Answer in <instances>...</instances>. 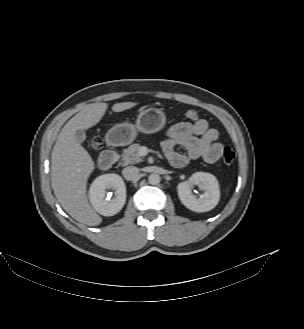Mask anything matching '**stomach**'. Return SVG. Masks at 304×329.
<instances>
[{
  "instance_id": "1",
  "label": "stomach",
  "mask_w": 304,
  "mask_h": 329,
  "mask_svg": "<svg viewBox=\"0 0 304 329\" xmlns=\"http://www.w3.org/2000/svg\"><path fill=\"white\" fill-rule=\"evenodd\" d=\"M166 124V115L162 109L150 107L141 111L135 124L128 122L114 125L105 136L111 146H125L132 143L139 132L152 134L160 131Z\"/></svg>"
}]
</instances>
